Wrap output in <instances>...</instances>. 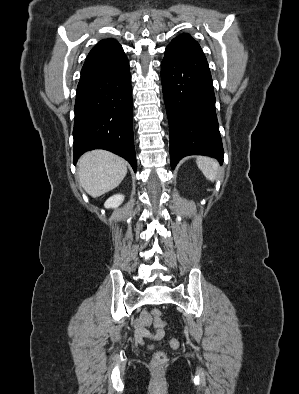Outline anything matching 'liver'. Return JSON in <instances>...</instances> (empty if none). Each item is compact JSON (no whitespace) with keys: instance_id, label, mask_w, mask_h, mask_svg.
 Returning <instances> with one entry per match:
<instances>
[{"instance_id":"liver-1","label":"liver","mask_w":299,"mask_h":394,"mask_svg":"<svg viewBox=\"0 0 299 394\" xmlns=\"http://www.w3.org/2000/svg\"><path fill=\"white\" fill-rule=\"evenodd\" d=\"M126 173V161L104 150L85 153L78 162L80 184L94 198L116 188Z\"/></svg>"}]
</instances>
